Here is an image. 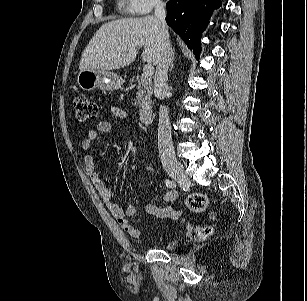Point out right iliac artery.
<instances>
[{"mask_svg": "<svg viewBox=\"0 0 307 301\" xmlns=\"http://www.w3.org/2000/svg\"><path fill=\"white\" fill-rule=\"evenodd\" d=\"M165 184H166V186H168L170 188H175L176 187V182L171 180V179H166L165 180Z\"/></svg>", "mask_w": 307, "mask_h": 301, "instance_id": "obj_1", "label": "right iliac artery"}]
</instances>
